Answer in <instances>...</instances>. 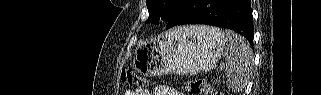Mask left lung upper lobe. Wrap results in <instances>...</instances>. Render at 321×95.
Listing matches in <instances>:
<instances>
[{
    "instance_id": "obj_1",
    "label": "left lung upper lobe",
    "mask_w": 321,
    "mask_h": 95,
    "mask_svg": "<svg viewBox=\"0 0 321 95\" xmlns=\"http://www.w3.org/2000/svg\"><path fill=\"white\" fill-rule=\"evenodd\" d=\"M182 0H146L149 17L146 24H157L158 21H167L180 5Z\"/></svg>"
}]
</instances>
